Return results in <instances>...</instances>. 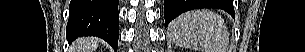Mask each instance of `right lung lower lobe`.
<instances>
[{
	"label": "right lung lower lobe",
	"mask_w": 305,
	"mask_h": 52,
	"mask_svg": "<svg viewBox=\"0 0 305 52\" xmlns=\"http://www.w3.org/2000/svg\"><path fill=\"white\" fill-rule=\"evenodd\" d=\"M118 0H71L66 36L69 42L82 36L104 39L118 47Z\"/></svg>",
	"instance_id": "1"
}]
</instances>
